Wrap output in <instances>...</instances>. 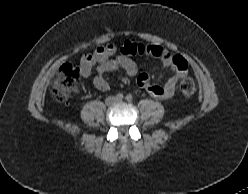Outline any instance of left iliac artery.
Listing matches in <instances>:
<instances>
[{
  "instance_id": "obj_1",
  "label": "left iliac artery",
  "mask_w": 248,
  "mask_h": 194,
  "mask_svg": "<svg viewBox=\"0 0 248 194\" xmlns=\"http://www.w3.org/2000/svg\"><path fill=\"white\" fill-rule=\"evenodd\" d=\"M126 100H127L128 102H131V101L133 100V96H132L131 94H128V95L126 96Z\"/></svg>"
}]
</instances>
